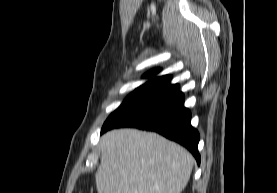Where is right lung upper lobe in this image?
Here are the masks:
<instances>
[{"mask_svg":"<svg viewBox=\"0 0 277 193\" xmlns=\"http://www.w3.org/2000/svg\"><path fill=\"white\" fill-rule=\"evenodd\" d=\"M159 71V69H154L146 73L145 77L149 78V80L142 86L138 87L135 92H141L147 95L169 86L171 77L169 75L155 77Z\"/></svg>","mask_w":277,"mask_h":193,"instance_id":"1","label":"right lung upper lobe"}]
</instances>
